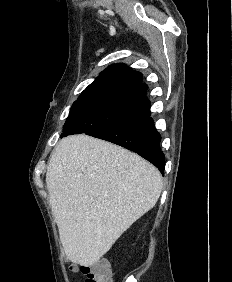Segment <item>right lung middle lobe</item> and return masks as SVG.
I'll use <instances>...</instances> for the list:
<instances>
[{
  "mask_svg": "<svg viewBox=\"0 0 232 282\" xmlns=\"http://www.w3.org/2000/svg\"><path fill=\"white\" fill-rule=\"evenodd\" d=\"M150 115L146 94L110 90L82 94L73 103L61 137L112 129Z\"/></svg>",
  "mask_w": 232,
  "mask_h": 282,
  "instance_id": "obj_1",
  "label": "right lung middle lobe"
}]
</instances>
